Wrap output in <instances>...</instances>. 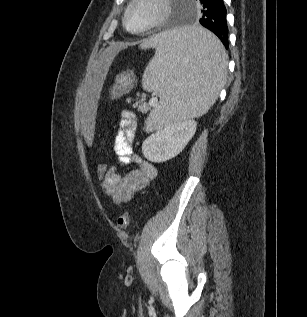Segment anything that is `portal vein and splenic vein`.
Returning <instances> with one entry per match:
<instances>
[{"label": "portal vein and splenic vein", "instance_id": "obj_1", "mask_svg": "<svg viewBox=\"0 0 307 317\" xmlns=\"http://www.w3.org/2000/svg\"><path fill=\"white\" fill-rule=\"evenodd\" d=\"M157 97H154V98H152L151 100H150V104L151 105H155L156 103H157Z\"/></svg>", "mask_w": 307, "mask_h": 317}]
</instances>
